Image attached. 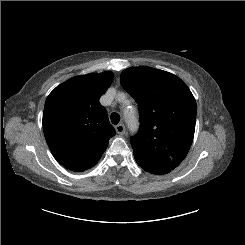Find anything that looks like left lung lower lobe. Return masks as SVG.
<instances>
[{
	"label": "left lung lower lobe",
	"instance_id": "left-lung-lower-lobe-1",
	"mask_svg": "<svg viewBox=\"0 0 245 245\" xmlns=\"http://www.w3.org/2000/svg\"><path fill=\"white\" fill-rule=\"evenodd\" d=\"M168 172H170V170H168V169H161V170H157V171H150V173L156 174V175H162V174H166Z\"/></svg>",
	"mask_w": 245,
	"mask_h": 245
}]
</instances>
